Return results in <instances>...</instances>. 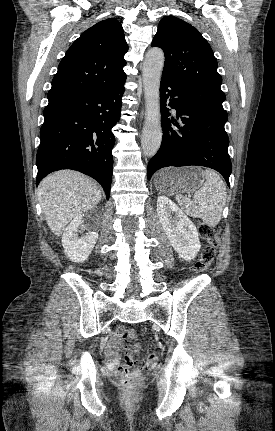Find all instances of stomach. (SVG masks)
Segmentation results:
<instances>
[{"label": "stomach", "mask_w": 275, "mask_h": 431, "mask_svg": "<svg viewBox=\"0 0 275 431\" xmlns=\"http://www.w3.org/2000/svg\"><path fill=\"white\" fill-rule=\"evenodd\" d=\"M205 177L198 167L166 168L159 171L154 183L165 194H189L199 189Z\"/></svg>", "instance_id": "stomach-1"}]
</instances>
